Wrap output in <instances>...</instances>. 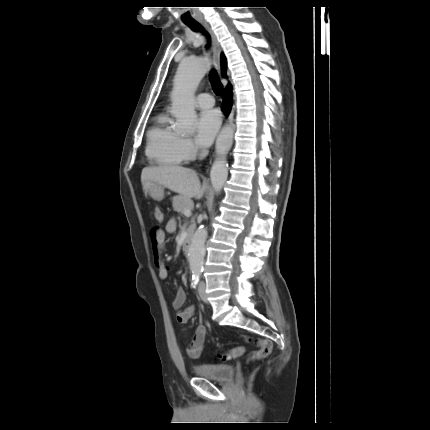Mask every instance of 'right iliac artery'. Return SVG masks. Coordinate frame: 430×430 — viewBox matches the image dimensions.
<instances>
[{
	"label": "right iliac artery",
	"instance_id": "1",
	"mask_svg": "<svg viewBox=\"0 0 430 430\" xmlns=\"http://www.w3.org/2000/svg\"><path fill=\"white\" fill-rule=\"evenodd\" d=\"M200 272H196L192 275L191 287L195 288L199 282Z\"/></svg>",
	"mask_w": 430,
	"mask_h": 430
}]
</instances>
